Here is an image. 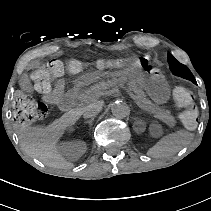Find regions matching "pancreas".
<instances>
[{"mask_svg":"<svg viewBox=\"0 0 211 211\" xmlns=\"http://www.w3.org/2000/svg\"><path fill=\"white\" fill-rule=\"evenodd\" d=\"M126 81H127L126 78H120L117 80V84L118 83L124 84ZM112 86H113V81L111 79H106L105 81L98 83L96 86L91 87L89 90L82 92L80 94V99L82 101H87L88 99H91L96 95H99L101 92L108 90ZM129 86L133 91V96L135 100H137L138 103L143 104L144 108L153 113L155 118L160 119L170 127H174L176 125L175 118L172 117L168 111H158L153 107L152 103L145 98V94L142 92V90L138 87V85L134 81L129 82Z\"/></svg>","mask_w":211,"mask_h":211,"instance_id":"pancreas-1","label":"pancreas"}]
</instances>
